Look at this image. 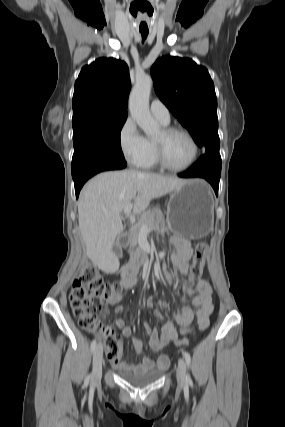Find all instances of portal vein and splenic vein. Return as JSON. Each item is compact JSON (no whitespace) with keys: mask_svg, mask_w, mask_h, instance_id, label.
I'll use <instances>...</instances> for the list:
<instances>
[{"mask_svg":"<svg viewBox=\"0 0 285 427\" xmlns=\"http://www.w3.org/2000/svg\"><path fill=\"white\" fill-rule=\"evenodd\" d=\"M132 207H133V203H129V204L124 208V214H125L126 216H128V217L130 218V221L133 223V222L135 221V217H134V215H132V214H131ZM147 230H148L147 226H146V225H143V226H142V228H141V231H147Z\"/></svg>","mask_w":285,"mask_h":427,"instance_id":"18ae733b","label":"portal vein and splenic vein"}]
</instances>
